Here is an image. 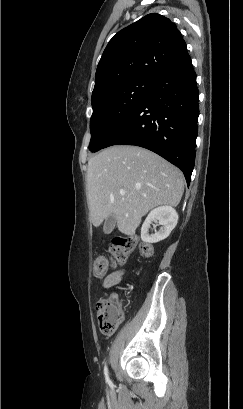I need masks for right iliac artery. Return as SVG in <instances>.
Instances as JSON below:
<instances>
[{
	"instance_id": "right-iliac-artery-1",
	"label": "right iliac artery",
	"mask_w": 243,
	"mask_h": 409,
	"mask_svg": "<svg viewBox=\"0 0 243 409\" xmlns=\"http://www.w3.org/2000/svg\"><path fill=\"white\" fill-rule=\"evenodd\" d=\"M104 374H105L106 382H107L108 384H110L111 381H110V379H109V377H108V369H107L106 364H105V366H104Z\"/></svg>"
}]
</instances>
